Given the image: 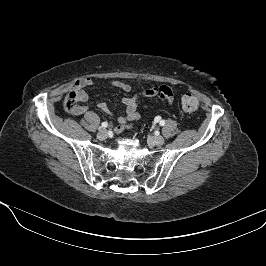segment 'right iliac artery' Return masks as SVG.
<instances>
[{
    "instance_id": "82829eb1",
    "label": "right iliac artery",
    "mask_w": 266,
    "mask_h": 266,
    "mask_svg": "<svg viewBox=\"0 0 266 266\" xmlns=\"http://www.w3.org/2000/svg\"><path fill=\"white\" fill-rule=\"evenodd\" d=\"M108 126V123L107 122H103L102 124H101V127H103V128H106Z\"/></svg>"
}]
</instances>
